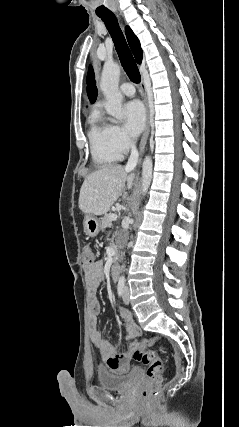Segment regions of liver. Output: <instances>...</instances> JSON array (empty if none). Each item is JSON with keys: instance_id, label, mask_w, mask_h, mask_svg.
Here are the masks:
<instances>
[{"instance_id": "obj_1", "label": "liver", "mask_w": 239, "mask_h": 427, "mask_svg": "<svg viewBox=\"0 0 239 427\" xmlns=\"http://www.w3.org/2000/svg\"><path fill=\"white\" fill-rule=\"evenodd\" d=\"M130 170L119 164H106L89 174L80 189L79 208L90 215L106 214L121 195L127 182L130 190L135 179Z\"/></svg>"}]
</instances>
